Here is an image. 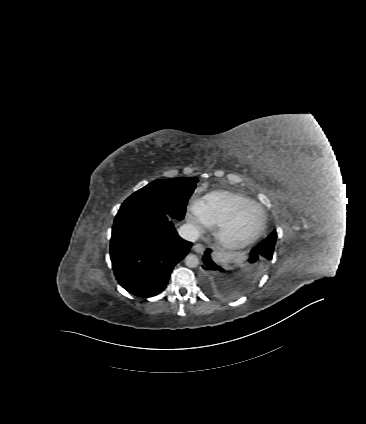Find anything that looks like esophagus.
<instances>
[{
  "label": "esophagus",
  "mask_w": 366,
  "mask_h": 424,
  "mask_svg": "<svg viewBox=\"0 0 366 424\" xmlns=\"http://www.w3.org/2000/svg\"><path fill=\"white\" fill-rule=\"evenodd\" d=\"M193 250H194L196 253H203V251H204V246H203L202 244H200V243L195 244V245L193 246Z\"/></svg>",
  "instance_id": "34e87169"
}]
</instances>
